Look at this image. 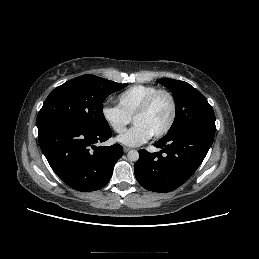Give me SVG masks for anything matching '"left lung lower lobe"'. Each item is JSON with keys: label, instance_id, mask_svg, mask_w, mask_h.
Wrapping results in <instances>:
<instances>
[{"label": "left lung lower lobe", "instance_id": "obj_1", "mask_svg": "<svg viewBox=\"0 0 259 259\" xmlns=\"http://www.w3.org/2000/svg\"><path fill=\"white\" fill-rule=\"evenodd\" d=\"M215 131L201 126L185 127L157 141L160 152L139 151L134 173L139 184L149 191L169 192L184 184L200 166Z\"/></svg>", "mask_w": 259, "mask_h": 259}]
</instances>
